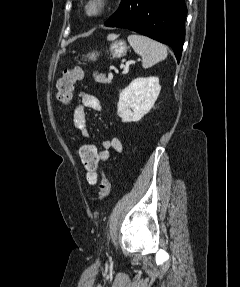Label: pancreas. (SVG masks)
<instances>
[{
	"mask_svg": "<svg viewBox=\"0 0 240 287\" xmlns=\"http://www.w3.org/2000/svg\"><path fill=\"white\" fill-rule=\"evenodd\" d=\"M93 78L98 83H110L111 79L107 78L105 74L94 73Z\"/></svg>",
	"mask_w": 240,
	"mask_h": 287,
	"instance_id": "1",
	"label": "pancreas"
}]
</instances>
